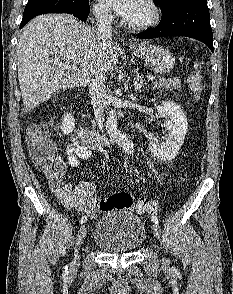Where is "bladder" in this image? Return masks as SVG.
Listing matches in <instances>:
<instances>
[{"label":"bladder","instance_id":"obj_1","mask_svg":"<svg viewBox=\"0 0 233 294\" xmlns=\"http://www.w3.org/2000/svg\"><path fill=\"white\" fill-rule=\"evenodd\" d=\"M146 227L139 216L126 209L108 210L97 221L94 243L105 251L129 253L138 250L146 239Z\"/></svg>","mask_w":233,"mask_h":294}]
</instances>
